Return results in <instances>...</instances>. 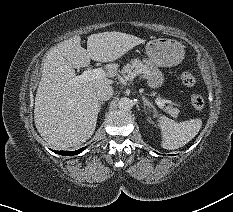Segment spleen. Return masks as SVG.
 <instances>
[{"label":"spleen","instance_id":"3e777b00","mask_svg":"<svg viewBox=\"0 0 233 212\" xmlns=\"http://www.w3.org/2000/svg\"><path fill=\"white\" fill-rule=\"evenodd\" d=\"M162 133L161 146L164 149L175 150L186 145L200 131L202 120L195 118L177 123L164 115L155 114Z\"/></svg>","mask_w":233,"mask_h":212}]
</instances>
